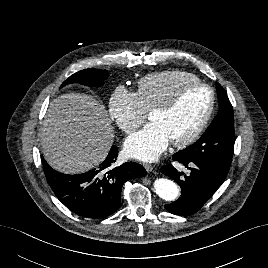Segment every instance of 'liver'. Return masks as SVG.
<instances>
[{
    "instance_id": "obj_1",
    "label": "liver",
    "mask_w": 268,
    "mask_h": 268,
    "mask_svg": "<svg viewBox=\"0 0 268 268\" xmlns=\"http://www.w3.org/2000/svg\"><path fill=\"white\" fill-rule=\"evenodd\" d=\"M40 136L47 163L59 172L78 174L106 158L114 129L104 105L90 95L66 93L50 103Z\"/></svg>"
}]
</instances>
